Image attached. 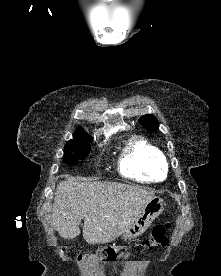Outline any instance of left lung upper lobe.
Masks as SVG:
<instances>
[{
	"label": "left lung upper lobe",
	"mask_w": 221,
	"mask_h": 276,
	"mask_svg": "<svg viewBox=\"0 0 221 276\" xmlns=\"http://www.w3.org/2000/svg\"><path fill=\"white\" fill-rule=\"evenodd\" d=\"M139 122L143 127L150 131H157L159 129V123L157 118L152 114H146L140 117Z\"/></svg>",
	"instance_id": "left-lung-upper-lobe-1"
}]
</instances>
